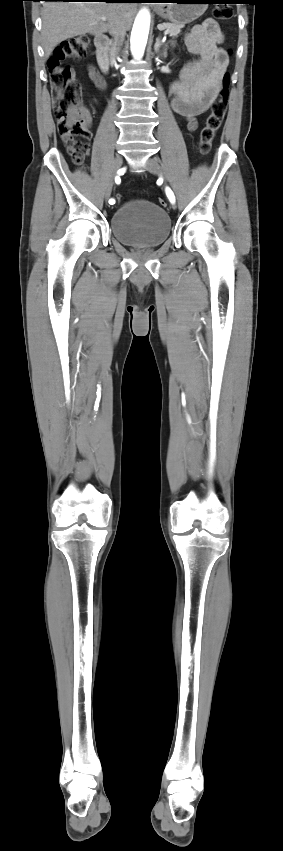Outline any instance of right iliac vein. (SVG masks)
Wrapping results in <instances>:
<instances>
[{
	"label": "right iliac vein",
	"mask_w": 283,
	"mask_h": 851,
	"mask_svg": "<svg viewBox=\"0 0 283 851\" xmlns=\"http://www.w3.org/2000/svg\"><path fill=\"white\" fill-rule=\"evenodd\" d=\"M122 164H123L122 157L120 155H117L115 157V160H114L113 169L111 170V179L109 180L107 187H106V190H105V199L106 200H108L110 195H111L112 187H113V183H114V178L118 175V170L121 168Z\"/></svg>",
	"instance_id": "obj_1"
}]
</instances>
